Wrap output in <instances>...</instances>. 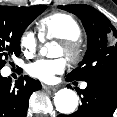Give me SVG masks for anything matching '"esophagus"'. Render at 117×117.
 Instances as JSON below:
<instances>
[{"instance_id":"34e87169","label":"esophagus","mask_w":117,"mask_h":117,"mask_svg":"<svg viewBox=\"0 0 117 117\" xmlns=\"http://www.w3.org/2000/svg\"><path fill=\"white\" fill-rule=\"evenodd\" d=\"M42 88L44 89V90H53V91H55V90H57V86H49V85H45V84H43L42 85Z\"/></svg>"}]
</instances>
